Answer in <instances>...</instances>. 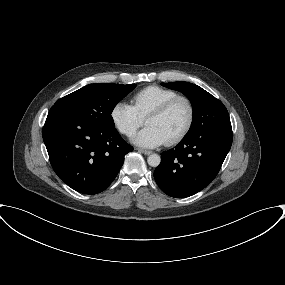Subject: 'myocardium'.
I'll list each match as a JSON object with an SVG mask.
<instances>
[{
	"label": "myocardium",
	"mask_w": 285,
	"mask_h": 285,
	"mask_svg": "<svg viewBox=\"0 0 285 285\" xmlns=\"http://www.w3.org/2000/svg\"><path fill=\"white\" fill-rule=\"evenodd\" d=\"M178 102H183L186 105L187 111H188L187 119L182 129L177 134H175L173 137L165 141L166 145H173V144L178 143L190 131L193 121H194V116H195L194 105L192 101L190 100V98H188L187 96H183V95H177L167 100L166 102L162 103L155 109H153L151 112L148 113V115L145 118V121H146L150 117H158V116L164 115Z\"/></svg>",
	"instance_id": "obj_1"
}]
</instances>
